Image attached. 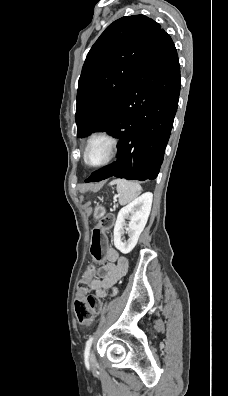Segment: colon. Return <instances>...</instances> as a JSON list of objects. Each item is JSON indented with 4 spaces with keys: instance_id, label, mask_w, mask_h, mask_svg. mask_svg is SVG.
<instances>
[{
    "instance_id": "colon-1",
    "label": "colon",
    "mask_w": 228,
    "mask_h": 396,
    "mask_svg": "<svg viewBox=\"0 0 228 396\" xmlns=\"http://www.w3.org/2000/svg\"><path fill=\"white\" fill-rule=\"evenodd\" d=\"M114 217L112 215L103 216L92 231L90 252L93 258L101 261L105 253L106 232L113 226ZM94 268L90 267L77 283V296L74 303L75 314L81 325L89 326L92 318L100 314L102 305L100 300L87 295L90 289Z\"/></svg>"
}]
</instances>
